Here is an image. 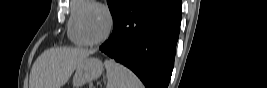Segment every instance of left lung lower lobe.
<instances>
[{"label": "left lung lower lobe", "mask_w": 267, "mask_h": 88, "mask_svg": "<svg viewBox=\"0 0 267 88\" xmlns=\"http://www.w3.org/2000/svg\"><path fill=\"white\" fill-rule=\"evenodd\" d=\"M180 21V0H129L100 50L130 68L146 88H167Z\"/></svg>", "instance_id": "obj_1"}]
</instances>
